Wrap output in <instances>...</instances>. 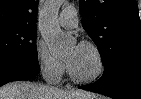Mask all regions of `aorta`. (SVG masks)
<instances>
[{"label": "aorta", "mask_w": 141, "mask_h": 99, "mask_svg": "<svg viewBox=\"0 0 141 99\" xmlns=\"http://www.w3.org/2000/svg\"><path fill=\"white\" fill-rule=\"evenodd\" d=\"M61 4L62 0H47L39 23L41 35L52 55L65 53L73 44L72 37L62 33L57 23Z\"/></svg>", "instance_id": "aorta-1"}]
</instances>
